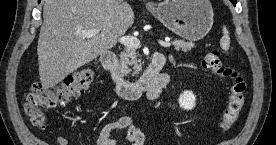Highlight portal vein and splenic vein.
Wrapping results in <instances>:
<instances>
[{
  "mask_svg": "<svg viewBox=\"0 0 276 145\" xmlns=\"http://www.w3.org/2000/svg\"><path fill=\"white\" fill-rule=\"evenodd\" d=\"M98 32L99 31L97 29H90V30L78 31L76 34L83 38H91L94 35H96ZM119 41L121 44H123L126 47L137 48L140 45L139 39L133 36H122L119 39ZM158 43L165 48H168L171 46V44L168 41L158 40Z\"/></svg>",
  "mask_w": 276,
  "mask_h": 145,
  "instance_id": "portal-vein-and-splenic-vein-1",
  "label": "portal vein and splenic vein"
}]
</instances>
